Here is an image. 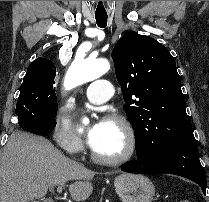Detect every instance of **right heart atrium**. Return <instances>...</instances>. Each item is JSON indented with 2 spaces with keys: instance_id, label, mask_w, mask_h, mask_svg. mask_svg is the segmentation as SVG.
Instances as JSON below:
<instances>
[{
  "instance_id": "1",
  "label": "right heart atrium",
  "mask_w": 209,
  "mask_h": 202,
  "mask_svg": "<svg viewBox=\"0 0 209 202\" xmlns=\"http://www.w3.org/2000/svg\"><path fill=\"white\" fill-rule=\"evenodd\" d=\"M53 139L71 155H76L83 148V140L70 123L56 120L53 127ZM71 174L75 172L76 165L73 161H67Z\"/></svg>"
}]
</instances>
